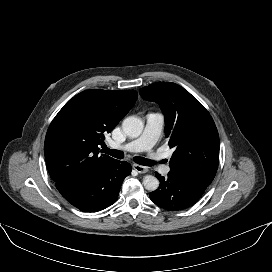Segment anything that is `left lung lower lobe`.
I'll return each mask as SVG.
<instances>
[{"label":"left lung lower lobe","mask_w":272,"mask_h":272,"mask_svg":"<svg viewBox=\"0 0 272 272\" xmlns=\"http://www.w3.org/2000/svg\"><path fill=\"white\" fill-rule=\"evenodd\" d=\"M160 181L159 188L150 193L151 200L166 210H184L195 204L208 185L176 173H168L164 178L156 173Z\"/></svg>","instance_id":"1"}]
</instances>
